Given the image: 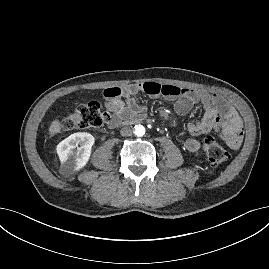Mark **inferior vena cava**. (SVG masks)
Returning <instances> with one entry per match:
<instances>
[{
	"mask_svg": "<svg viewBox=\"0 0 269 269\" xmlns=\"http://www.w3.org/2000/svg\"><path fill=\"white\" fill-rule=\"evenodd\" d=\"M120 134L122 136H131L132 135V130L130 127H123L121 130H120Z\"/></svg>",
	"mask_w": 269,
	"mask_h": 269,
	"instance_id": "602c4592",
	"label": "inferior vena cava"
}]
</instances>
